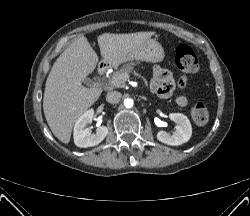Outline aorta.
<instances>
[{
    "instance_id": "1",
    "label": "aorta",
    "mask_w": 250,
    "mask_h": 216,
    "mask_svg": "<svg viewBox=\"0 0 250 216\" xmlns=\"http://www.w3.org/2000/svg\"><path fill=\"white\" fill-rule=\"evenodd\" d=\"M133 103H134L133 100L130 99V98H127V99L124 100V105H125L126 108L133 107Z\"/></svg>"
}]
</instances>
